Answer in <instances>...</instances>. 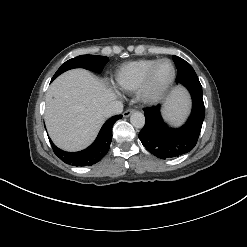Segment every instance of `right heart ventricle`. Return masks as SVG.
I'll return each mask as SVG.
<instances>
[{
    "label": "right heart ventricle",
    "mask_w": 247,
    "mask_h": 247,
    "mask_svg": "<svg viewBox=\"0 0 247 247\" xmlns=\"http://www.w3.org/2000/svg\"><path fill=\"white\" fill-rule=\"evenodd\" d=\"M156 59H138L121 65L114 76V85L124 92H133L138 88L148 67Z\"/></svg>",
    "instance_id": "e07e8e85"
}]
</instances>
